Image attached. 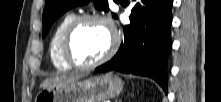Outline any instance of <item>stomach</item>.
Instances as JSON below:
<instances>
[{"label":"stomach","instance_id":"obj_1","mask_svg":"<svg viewBox=\"0 0 221 102\" xmlns=\"http://www.w3.org/2000/svg\"><path fill=\"white\" fill-rule=\"evenodd\" d=\"M123 81L114 74H104L83 81H72L61 86L41 90L34 102H104L118 96Z\"/></svg>","mask_w":221,"mask_h":102}]
</instances>
